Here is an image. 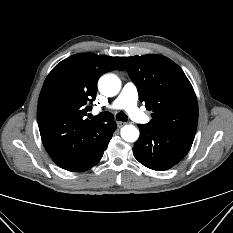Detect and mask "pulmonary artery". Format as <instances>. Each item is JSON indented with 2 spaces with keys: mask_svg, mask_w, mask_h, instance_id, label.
<instances>
[{
  "mask_svg": "<svg viewBox=\"0 0 233 233\" xmlns=\"http://www.w3.org/2000/svg\"><path fill=\"white\" fill-rule=\"evenodd\" d=\"M138 91L132 82H127L118 97L106 107L112 110L124 109L129 117L137 122L146 124L150 118L139 110L137 107Z\"/></svg>",
  "mask_w": 233,
  "mask_h": 233,
  "instance_id": "e3ab8cb5",
  "label": "pulmonary artery"
}]
</instances>
